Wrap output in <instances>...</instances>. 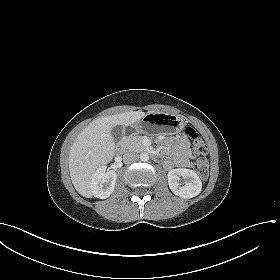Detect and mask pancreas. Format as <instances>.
I'll list each match as a JSON object with an SVG mask.
<instances>
[{
    "mask_svg": "<svg viewBox=\"0 0 280 280\" xmlns=\"http://www.w3.org/2000/svg\"><path fill=\"white\" fill-rule=\"evenodd\" d=\"M142 136H132L124 141V148L130 151L141 152L145 150V146L142 143Z\"/></svg>",
    "mask_w": 280,
    "mask_h": 280,
    "instance_id": "1",
    "label": "pancreas"
}]
</instances>
